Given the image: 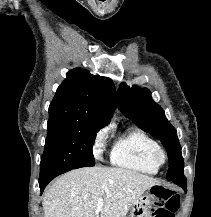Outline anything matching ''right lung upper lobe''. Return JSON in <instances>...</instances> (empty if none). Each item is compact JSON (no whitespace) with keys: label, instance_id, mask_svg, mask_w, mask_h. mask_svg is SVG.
Here are the masks:
<instances>
[{"label":"right lung upper lobe","instance_id":"1","mask_svg":"<svg viewBox=\"0 0 211 217\" xmlns=\"http://www.w3.org/2000/svg\"><path fill=\"white\" fill-rule=\"evenodd\" d=\"M116 107L113 82L76 68L69 71L49 106V120H69L107 125Z\"/></svg>","mask_w":211,"mask_h":217}]
</instances>
